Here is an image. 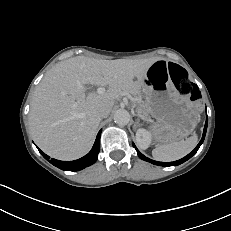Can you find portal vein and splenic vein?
Returning a JSON list of instances; mask_svg holds the SVG:
<instances>
[{
	"mask_svg": "<svg viewBox=\"0 0 231 231\" xmlns=\"http://www.w3.org/2000/svg\"><path fill=\"white\" fill-rule=\"evenodd\" d=\"M104 92H105V88H103V87H99V88L97 89V93H98L99 95L103 94ZM139 116H140L141 118H143L142 115L139 114Z\"/></svg>",
	"mask_w": 231,
	"mask_h": 231,
	"instance_id": "18ae733b",
	"label": "portal vein and splenic vein"
}]
</instances>
